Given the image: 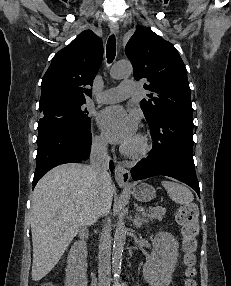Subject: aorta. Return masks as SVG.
<instances>
[{"instance_id":"1","label":"aorta","mask_w":231,"mask_h":286,"mask_svg":"<svg viewBox=\"0 0 231 286\" xmlns=\"http://www.w3.org/2000/svg\"><path fill=\"white\" fill-rule=\"evenodd\" d=\"M133 72L132 65L128 62H119L115 64L110 72V75L114 79H120L130 76ZM124 213H120V220L116 224L114 233V244L112 253V270L114 278L118 279L121 272L122 254L126 240V226L123 220Z\"/></svg>"}]
</instances>
